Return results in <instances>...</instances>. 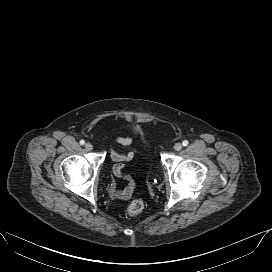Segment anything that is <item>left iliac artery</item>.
I'll return each mask as SVG.
<instances>
[{
  "label": "left iliac artery",
  "mask_w": 272,
  "mask_h": 272,
  "mask_svg": "<svg viewBox=\"0 0 272 272\" xmlns=\"http://www.w3.org/2000/svg\"><path fill=\"white\" fill-rule=\"evenodd\" d=\"M182 144H183V146H187V145L189 144V142H188L187 140H184V141L182 142Z\"/></svg>",
  "instance_id": "1"
}]
</instances>
